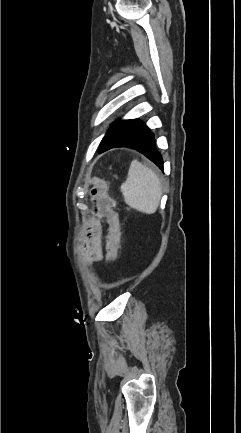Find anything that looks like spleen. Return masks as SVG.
<instances>
[{
	"label": "spleen",
	"mask_w": 241,
	"mask_h": 433,
	"mask_svg": "<svg viewBox=\"0 0 241 433\" xmlns=\"http://www.w3.org/2000/svg\"><path fill=\"white\" fill-rule=\"evenodd\" d=\"M121 192L128 206L145 214L156 212L162 195L157 174L138 160L131 162Z\"/></svg>",
	"instance_id": "1"
}]
</instances>
